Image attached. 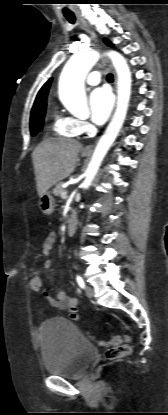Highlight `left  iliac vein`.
<instances>
[{
    "label": "left iliac vein",
    "mask_w": 168,
    "mask_h": 415,
    "mask_svg": "<svg viewBox=\"0 0 168 415\" xmlns=\"http://www.w3.org/2000/svg\"><path fill=\"white\" fill-rule=\"evenodd\" d=\"M85 294H86V296H88V297H92L93 296V294H94V291H93V288L91 287V286H86L85 287Z\"/></svg>",
    "instance_id": "1"
}]
</instances>
